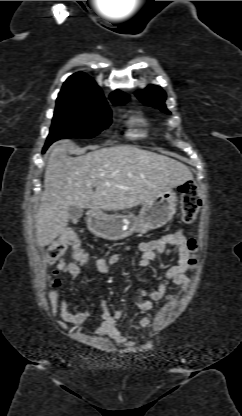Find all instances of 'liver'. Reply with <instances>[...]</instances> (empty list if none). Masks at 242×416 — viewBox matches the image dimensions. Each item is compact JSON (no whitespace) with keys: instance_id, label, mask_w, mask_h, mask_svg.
<instances>
[{"instance_id":"1","label":"liver","mask_w":242,"mask_h":416,"mask_svg":"<svg viewBox=\"0 0 242 416\" xmlns=\"http://www.w3.org/2000/svg\"><path fill=\"white\" fill-rule=\"evenodd\" d=\"M68 146L66 141L54 146L46 165L35 223L41 247L65 230L70 206L95 211L129 209L193 178L183 163L136 147L115 146L70 157Z\"/></svg>"}]
</instances>
